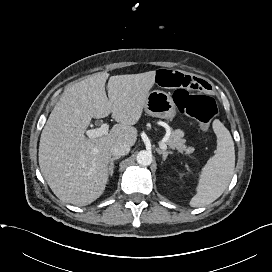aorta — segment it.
<instances>
[{
	"instance_id": "obj_1",
	"label": "aorta",
	"mask_w": 272,
	"mask_h": 272,
	"mask_svg": "<svg viewBox=\"0 0 272 272\" xmlns=\"http://www.w3.org/2000/svg\"><path fill=\"white\" fill-rule=\"evenodd\" d=\"M136 160L141 166H149L152 163V154L149 151L142 150L137 154Z\"/></svg>"
}]
</instances>
